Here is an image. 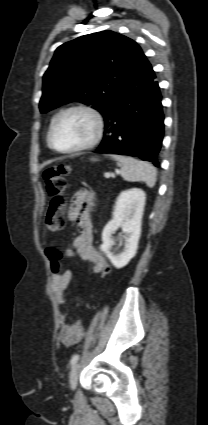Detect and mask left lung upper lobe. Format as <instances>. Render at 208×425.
Returning <instances> with one entry per match:
<instances>
[{
	"label": "left lung upper lobe",
	"mask_w": 208,
	"mask_h": 425,
	"mask_svg": "<svg viewBox=\"0 0 208 425\" xmlns=\"http://www.w3.org/2000/svg\"><path fill=\"white\" fill-rule=\"evenodd\" d=\"M146 60L140 46L113 31L79 37L59 46L43 77L40 111L82 102L102 114Z\"/></svg>",
	"instance_id": "obj_1"
}]
</instances>
